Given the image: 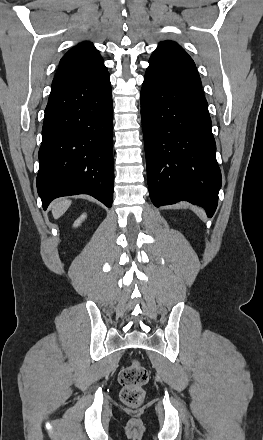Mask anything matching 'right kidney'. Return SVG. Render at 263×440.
<instances>
[{"label": "right kidney", "instance_id": "1", "mask_svg": "<svg viewBox=\"0 0 263 440\" xmlns=\"http://www.w3.org/2000/svg\"><path fill=\"white\" fill-rule=\"evenodd\" d=\"M86 218V214H82L75 222H74V227H78L81 222Z\"/></svg>", "mask_w": 263, "mask_h": 440}]
</instances>
